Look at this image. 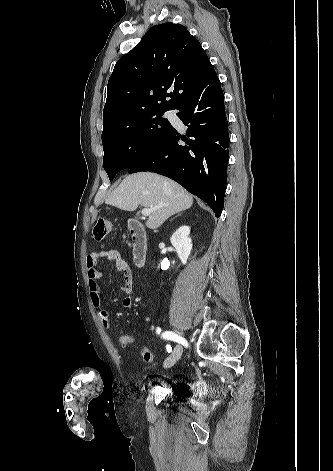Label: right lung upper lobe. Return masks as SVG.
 Returning <instances> with one entry per match:
<instances>
[{
	"label": "right lung upper lobe",
	"mask_w": 333,
	"mask_h": 471,
	"mask_svg": "<svg viewBox=\"0 0 333 471\" xmlns=\"http://www.w3.org/2000/svg\"><path fill=\"white\" fill-rule=\"evenodd\" d=\"M214 74L199 41L185 27L171 22L151 27L116 62L108 81L103 131L143 111L176 109Z\"/></svg>",
	"instance_id": "right-lung-upper-lobe-1"
}]
</instances>
